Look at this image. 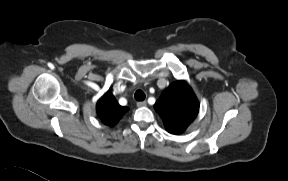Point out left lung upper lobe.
<instances>
[{"label":"left lung upper lobe","mask_w":288,"mask_h":181,"mask_svg":"<svg viewBox=\"0 0 288 181\" xmlns=\"http://www.w3.org/2000/svg\"><path fill=\"white\" fill-rule=\"evenodd\" d=\"M167 131L180 134L196 118L199 102L186 81L180 80L169 85L154 104Z\"/></svg>","instance_id":"1"}]
</instances>
